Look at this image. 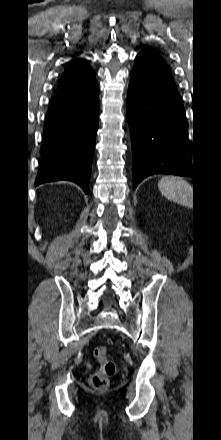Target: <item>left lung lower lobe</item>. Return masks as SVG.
Instances as JSON below:
<instances>
[{
	"label": "left lung lower lobe",
	"mask_w": 221,
	"mask_h": 440,
	"mask_svg": "<svg viewBox=\"0 0 221 440\" xmlns=\"http://www.w3.org/2000/svg\"><path fill=\"white\" fill-rule=\"evenodd\" d=\"M127 118L131 133L133 188L147 176L195 177L188 158V123L165 60L151 49L135 58L130 73Z\"/></svg>",
	"instance_id": "0a47b994"
}]
</instances>
